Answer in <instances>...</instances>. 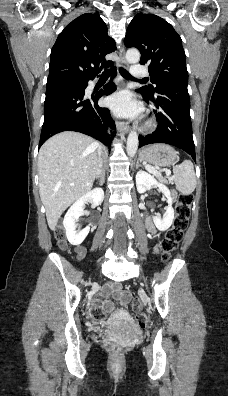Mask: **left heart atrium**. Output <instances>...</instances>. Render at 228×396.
<instances>
[{"label": "left heart atrium", "mask_w": 228, "mask_h": 396, "mask_svg": "<svg viewBox=\"0 0 228 396\" xmlns=\"http://www.w3.org/2000/svg\"><path fill=\"white\" fill-rule=\"evenodd\" d=\"M108 106L116 114L128 117H137L142 111L141 106L125 91L113 94L108 99Z\"/></svg>", "instance_id": "left-heart-atrium-1"}]
</instances>
